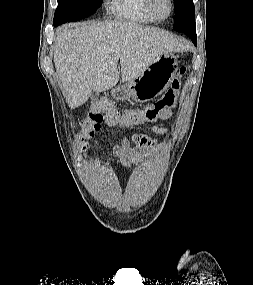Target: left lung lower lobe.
I'll return each mask as SVG.
<instances>
[{
  "label": "left lung lower lobe",
  "mask_w": 253,
  "mask_h": 285,
  "mask_svg": "<svg viewBox=\"0 0 253 285\" xmlns=\"http://www.w3.org/2000/svg\"><path fill=\"white\" fill-rule=\"evenodd\" d=\"M185 34L192 40L195 45H197L196 27L185 31Z\"/></svg>",
  "instance_id": "0a47b994"
}]
</instances>
